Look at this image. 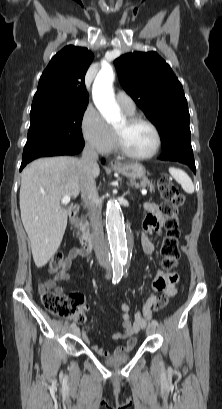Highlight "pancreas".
<instances>
[{"instance_id": "cf45deb5", "label": "pancreas", "mask_w": 222, "mask_h": 409, "mask_svg": "<svg viewBox=\"0 0 222 409\" xmlns=\"http://www.w3.org/2000/svg\"><path fill=\"white\" fill-rule=\"evenodd\" d=\"M136 187H149L150 192L155 191V185L147 178H144L139 184L136 185ZM78 229L82 232V236L89 234V223L85 218H81L79 220Z\"/></svg>"}]
</instances>
